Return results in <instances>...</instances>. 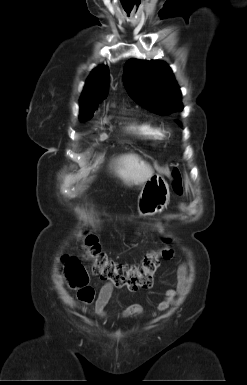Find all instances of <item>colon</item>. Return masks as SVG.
Returning a JSON list of instances; mask_svg holds the SVG:
<instances>
[{
  "label": "colon",
  "mask_w": 247,
  "mask_h": 385,
  "mask_svg": "<svg viewBox=\"0 0 247 385\" xmlns=\"http://www.w3.org/2000/svg\"><path fill=\"white\" fill-rule=\"evenodd\" d=\"M172 188L176 194L183 192L181 175L176 169L172 171ZM82 249L86 259L91 262L92 272L95 275L116 287H126L131 291L151 287L154 273L160 262L173 257L169 240H165L163 247L146 253L139 265L132 266L109 258L101 249L96 237L92 235H85L82 238ZM63 270L69 287L77 292L79 300L86 304L92 303L95 292L89 284V276L80 261L75 257L65 256Z\"/></svg>",
  "instance_id": "5ec220e1"
}]
</instances>
